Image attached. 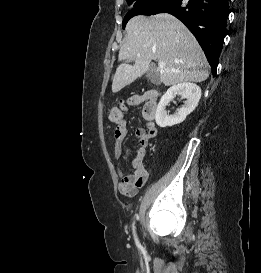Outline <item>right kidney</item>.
Returning a JSON list of instances; mask_svg holds the SVG:
<instances>
[{"instance_id":"obj_1","label":"right kidney","mask_w":261,"mask_h":273,"mask_svg":"<svg viewBox=\"0 0 261 273\" xmlns=\"http://www.w3.org/2000/svg\"><path fill=\"white\" fill-rule=\"evenodd\" d=\"M176 96L185 98L184 105L174 115L167 114L166 106ZM201 98V88L190 82H183L170 87L162 96L156 110L155 120L158 126L171 127L183 122L198 105Z\"/></svg>"}]
</instances>
